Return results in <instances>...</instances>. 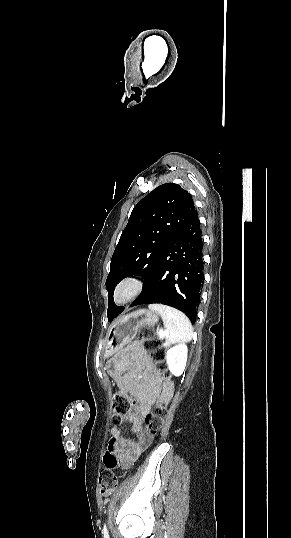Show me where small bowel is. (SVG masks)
Wrapping results in <instances>:
<instances>
[{"label": "small bowel", "instance_id": "small-bowel-1", "mask_svg": "<svg viewBox=\"0 0 291 538\" xmlns=\"http://www.w3.org/2000/svg\"><path fill=\"white\" fill-rule=\"evenodd\" d=\"M105 370L115 381L119 390L131 395L137 402L135 409L111 429L107 445V449H111L116 456L117 465L122 469H129L152 443V435L143 427V418L156 402L163 387V381L160 372L152 366L149 359L136 345L131 346L122 354H111ZM137 372L144 375V382L141 383L135 379ZM171 392L172 388L167 387V395ZM124 423L129 424L135 438L122 435L121 427Z\"/></svg>", "mask_w": 291, "mask_h": 538}]
</instances>
